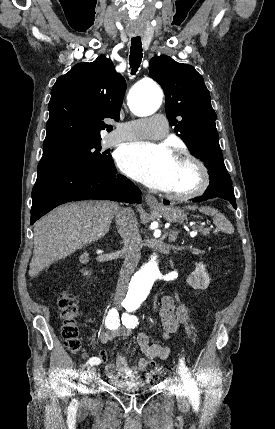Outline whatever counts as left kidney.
<instances>
[{"mask_svg": "<svg viewBox=\"0 0 275 429\" xmlns=\"http://www.w3.org/2000/svg\"><path fill=\"white\" fill-rule=\"evenodd\" d=\"M186 282L195 290H205L209 286L210 278L203 263H199L195 271L186 279Z\"/></svg>", "mask_w": 275, "mask_h": 429, "instance_id": "obj_1", "label": "left kidney"}]
</instances>
